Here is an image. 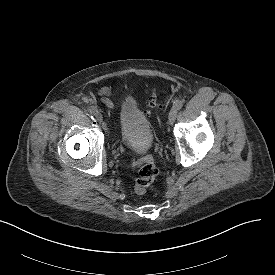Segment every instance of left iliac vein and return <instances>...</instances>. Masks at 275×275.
Listing matches in <instances>:
<instances>
[{"label": "left iliac vein", "mask_w": 275, "mask_h": 275, "mask_svg": "<svg viewBox=\"0 0 275 275\" xmlns=\"http://www.w3.org/2000/svg\"><path fill=\"white\" fill-rule=\"evenodd\" d=\"M177 109H175V108H172L171 110H170V112H169V116H168V121H169V124H173L174 123V121L176 120V118H177Z\"/></svg>", "instance_id": "1"}]
</instances>
